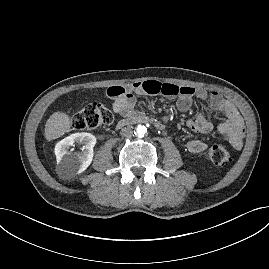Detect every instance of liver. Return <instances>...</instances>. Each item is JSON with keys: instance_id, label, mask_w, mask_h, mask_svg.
I'll use <instances>...</instances> for the list:
<instances>
[{"instance_id": "1", "label": "liver", "mask_w": 269, "mask_h": 269, "mask_svg": "<svg viewBox=\"0 0 269 269\" xmlns=\"http://www.w3.org/2000/svg\"><path fill=\"white\" fill-rule=\"evenodd\" d=\"M71 128V119L68 114L64 112H54L45 124V138L47 141H52L65 133L69 132Z\"/></svg>"}]
</instances>
